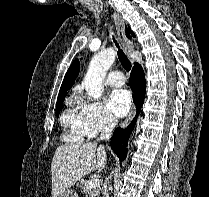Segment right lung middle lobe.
<instances>
[{"label": "right lung middle lobe", "mask_w": 209, "mask_h": 197, "mask_svg": "<svg viewBox=\"0 0 209 197\" xmlns=\"http://www.w3.org/2000/svg\"><path fill=\"white\" fill-rule=\"evenodd\" d=\"M63 100L64 99H60V100L57 101V104H56V115L57 116H59V113H60V109L62 107Z\"/></svg>", "instance_id": "1"}]
</instances>
